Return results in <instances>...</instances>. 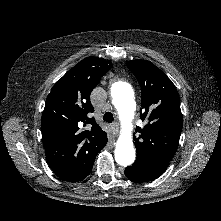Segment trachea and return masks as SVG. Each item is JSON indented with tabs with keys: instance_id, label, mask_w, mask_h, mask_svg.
I'll use <instances>...</instances> for the list:
<instances>
[{
	"instance_id": "3493384b",
	"label": "trachea",
	"mask_w": 221,
	"mask_h": 221,
	"mask_svg": "<svg viewBox=\"0 0 221 221\" xmlns=\"http://www.w3.org/2000/svg\"><path fill=\"white\" fill-rule=\"evenodd\" d=\"M103 120L107 123H112L114 120L113 114L111 112H106L103 116Z\"/></svg>"
}]
</instances>
